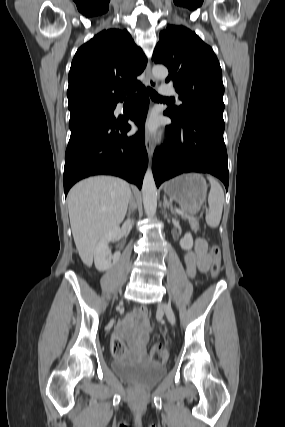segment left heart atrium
Wrapping results in <instances>:
<instances>
[{"label":"left heart atrium","mask_w":285,"mask_h":427,"mask_svg":"<svg viewBox=\"0 0 285 427\" xmlns=\"http://www.w3.org/2000/svg\"><path fill=\"white\" fill-rule=\"evenodd\" d=\"M158 127V123L156 121L155 118H150L146 123H145V130L146 132H148L149 134H153L156 132Z\"/></svg>","instance_id":"left-heart-atrium-1"}]
</instances>
